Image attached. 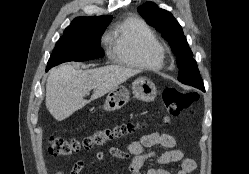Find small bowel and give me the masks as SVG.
<instances>
[{"label": "small bowel", "instance_id": "obj_1", "mask_svg": "<svg viewBox=\"0 0 249 174\" xmlns=\"http://www.w3.org/2000/svg\"><path fill=\"white\" fill-rule=\"evenodd\" d=\"M155 146L168 148L167 151L157 154L155 151H146V149ZM177 139L175 136L165 132H153L141 137L139 141H133L127 144L126 149L110 147L96 153L94 159L90 162L87 172L92 171L97 163L105 160L108 156L121 160H131L129 171L131 174H141L145 163L151 161L156 166L147 169L146 174H170L169 171L162 168V165L179 162L182 160L181 167L177 174H191L197 167L193 159H184L183 152L176 148ZM84 160H78L72 166L69 174H81L85 170ZM57 174H65L59 171Z\"/></svg>", "mask_w": 249, "mask_h": 174}]
</instances>
